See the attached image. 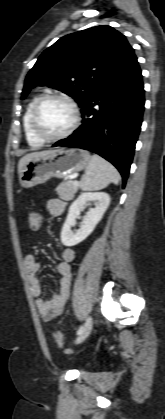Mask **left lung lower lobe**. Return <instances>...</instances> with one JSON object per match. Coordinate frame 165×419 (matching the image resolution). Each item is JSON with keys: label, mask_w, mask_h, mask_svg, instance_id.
Instances as JSON below:
<instances>
[{"label": "left lung lower lobe", "mask_w": 165, "mask_h": 419, "mask_svg": "<svg viewBox=\"0 0 165 419\" xmlns=\"http://www.w3.org/2000/svg\"><path fill=\"white\" fill-rule=\"evenodd\" d=\"M144 87L135 54L108 76L81 109L83 123L68 138L53 146L95 152L128 178L142 124Z\"/></svg>", "instance_id": "obj_1"}]
</instances>
